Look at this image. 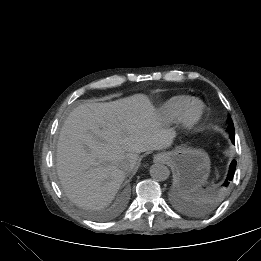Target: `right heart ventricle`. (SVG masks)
<instances>
[{
	"label": "right heart ventricle",
	"instance_id": "right-heart-ventricle-1",
	"mask_svg": "<svg viewBox=\"0 0 261 261\" xmlns=\"http://www.w3.org/2000/svg\"><path fill=\"white\" fill-rule=\"evenodd\" d=\"M192 101V97L186 95L171 97L161 106V115L165 120L178 119Z\"/></svg>",
	"mask_w": 261,
	"mask_h": 261
}]
</instances>
